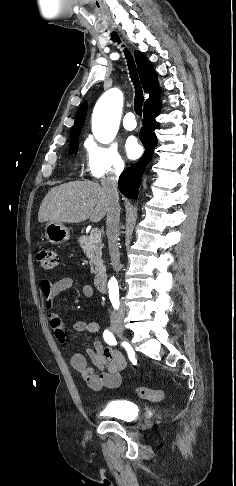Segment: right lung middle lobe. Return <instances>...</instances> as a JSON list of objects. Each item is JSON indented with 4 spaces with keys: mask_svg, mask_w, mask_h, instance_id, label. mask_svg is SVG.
Here are the masks:
<instances>
[{
    "mask_svg": "<svg viewBox=\"0 0 236 486\" xmlns=\"http://www.w3.org/2000/svg\"><path fill=\"white\" fill-rule=\"evenodd\" d=\"M77 139L78 138H75V139H72L71 140V143H70V147L71 148L69 150L70 153H76L77 152V150H78Z\"/></svg>",
    "mask_w": 236,
    "mask_h": 486,
    "instance_id": "right-lung-middle-lobe-1",
    "label": "right lung middle lobe"
}]
</instances>
